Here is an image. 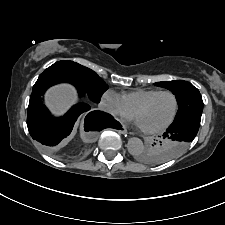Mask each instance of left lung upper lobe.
Masks as SVG:
<instances>
[{
	"mask_svg": "<svg viewBox=\"0 0 225 225\" xmlns=\"http://www.w3.org/2000/svg\"><path fill=\"white\" fill-rule=\"evenodd\" d=\"M156 86H161L171 90L178 103V112L175 119L188 115L193 112L203 111V100L199 90L190 82L184 80L156 82ZM177 144L183 145L182 151L189 145L184 141H178L171 137H162L152 146L138 155V159L149 164H159L170 159L171 150Z\"/></svg>",
	"mask_w": 225,
	"mask_h": 225,
	"instance_id": "obj_1",
	"label": "left lung upper lobe"
}]
</instances>
